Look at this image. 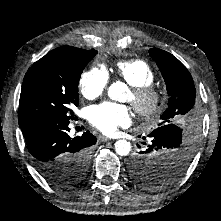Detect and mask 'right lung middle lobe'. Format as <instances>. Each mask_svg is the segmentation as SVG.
Returning a JSON list of instances; mask_svg holds the SVG:
<instances>
[{
    "label": "right lung middle lobe",
    "mask_w": 221,
    "mask_h": 221,
    "mask_svg": "<svg viewBox=\"0 0 221 221\" xmlns=\"http://www.w3.org/2000/svg\"><path fill=\"white\" fill-rule=\"evenodd\" d=\"M97 51L73 58H41L27 71L22 85L18 122L21 126L36 117L74 119L72 107L78 106L81 73ZM90 149L65 157L60 165L47 167L43 176L57 186H70L85 177Z\"/></svg>",
    "instance_id": "right-lung-middle-lobe-1"
}]
</instances>
